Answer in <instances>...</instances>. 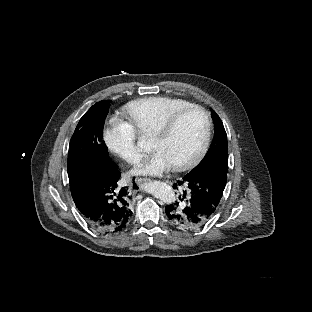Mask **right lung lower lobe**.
Listing matches in <instances>:
<instances>
[{
    "mask_svg": "<svg viewBox=\"0 0 312 312\" xmlns=\"http://www.w3.org/2000/svg\"><path fill=\"white\" fill-rule=\"evenodd\" d=\"M121 173L112 163L97 166L70 185L81 216L102 234H118L126 230L132 217L128 188L118 186ZM134 188L137 186L134 184Z\"/></svg>",
    "mask_w": 312,
    "mask_h": 312,
    "instance_id": "98d812e1",
    "label": "right lung lower lobe"
}]
</instances>
